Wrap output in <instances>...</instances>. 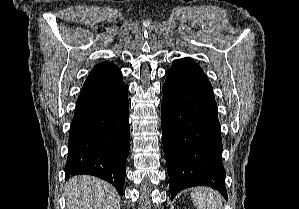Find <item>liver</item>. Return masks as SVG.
<instances>
[{"mask_svg":"<svg viewBox=\"0 0 299 209\" xmlns=\"http://www.w3.org/2000/svg\"><path fill=\"white\" fill-rule=\"evenodd\" d=\"M67 209H116L119 196L109 183L92 176H75L65 188Z\"/></svg>","mask_w":299,"mask_h":209,"instance_id":"obj_1","label":"liver"}]
</instances>
